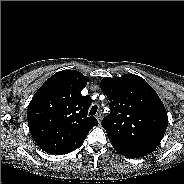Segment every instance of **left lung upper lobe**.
<instances>
[{
  "label": "left lung upper lobe",
  "instance_id": "left-lung-upper-lobe-1",
  "mask_svg": "<svg viewBox=\"0 0 184 184\" xmlns=\"http://www.w3.org/2000/svg\"><path fill=\"white\" fill-rule=\"evenodd\" d=\"M100 87L110 102L111 112L101 122L109 140L153 152L168 126L166 109L155 90L134 74L106 77Z\"/></svg>",
  "mask_w": 184,
  "mask_h": 184
}]
</instances>
